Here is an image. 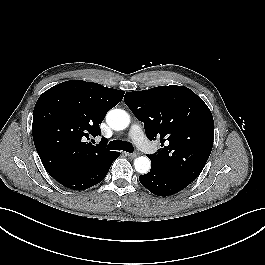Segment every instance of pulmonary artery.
I'll return each mask as SVG.
<instances>
[{"label": "pulmonary artery", "instance_id": "1", "mask_svg": "<svg viewBox=\"0 0 265 265\" xmlns=\"http://www.w3.org/2000/svg\"><path fill=\"white\" fill-rule=\"evenodd\" d=\"M129 137L140 147H145V135L139 123H134L129 130Z\"/></svg>", "mask_w": 265, "mask_h": 265}]
</instances>
